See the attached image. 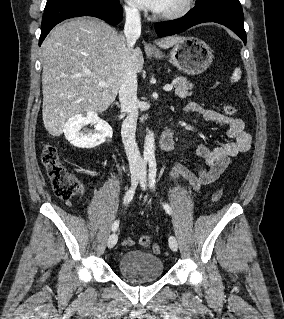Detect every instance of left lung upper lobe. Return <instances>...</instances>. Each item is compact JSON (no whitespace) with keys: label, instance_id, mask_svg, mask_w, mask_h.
<instances>
[{"label":"left lung upper lobe","instance_id":"left-lung-upper-lobe-1","mask_svg":"<svg viewBox=\"0 0 284 319\" xmlns=\"http://www.w3.org/2000/svg\"><path fill=\"white\" fill-rule=\"evenodd\" d=\"M208 1H211V0H197V4H202V3H205V2H208Z\"/></svg>","mask_w":284,"mask_h":319}]
</instances>
